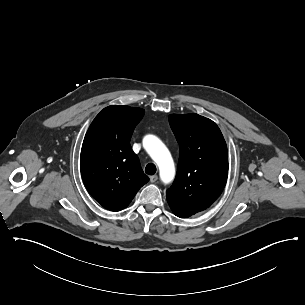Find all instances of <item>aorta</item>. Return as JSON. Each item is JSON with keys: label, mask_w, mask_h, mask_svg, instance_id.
Instances as JSON below:
<instances>
[{"label": "aorta", "mask_w": 305, "mask_h": 305, "mask_svg": "<svg viewBox=\"0 0 305 305\" xmlns=\"http://www.w3.org/2000/svg\"><path fill=\"white\" fill-rule=\"evenodd\" d=\"M143 146L158 165L162 182L170 183L175 176V166L167 147L154 135L144 137Z\"/></svg>", "instance_id": "1"}]
</instances>
